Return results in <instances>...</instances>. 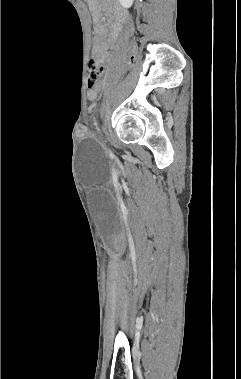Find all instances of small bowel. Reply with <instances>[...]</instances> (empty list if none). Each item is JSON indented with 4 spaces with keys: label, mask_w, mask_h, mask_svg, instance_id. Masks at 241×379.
<instances>
[{
    "label": "small bowel",
    "mask_w": 241,
    "mask_h": 379,
    "mask_svg": "<svg viewBox=\"0 0 241 379\" xmlns=\"http://www.w3.org/2000/svg\"><path fill=\"white\" fill-rule=\"evenodd\" d=\"M104 6L109 13L113 14L119 22L125 19L124 13L115 5L113 0H104ZM93 12L95 18L99 21V9L96 5H93ZM119 28V23L115 24L110 38L107 37L106 29L98 23L95 29L94 43H93V56L100 62L105 63L109 59L108 48L111 41L114 40L117 30ZM87 97L89 100H95L97 97L96 89H89L87 92Z\"/></svg>",
    "instance_id": "c3829d8e"
}]
</instances>
